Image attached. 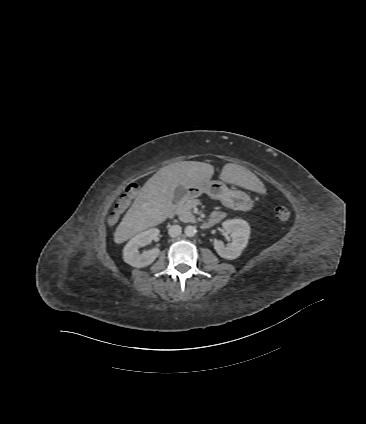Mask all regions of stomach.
<instances>
[{
    "label": "stomach",
    "instance_id": "stomach-1",
    "mask_svg": "<svg viewBox=\"0 0 366 424\" xmlns=\"http://www.w3.org/2000/svg\"><path fill=\"white\" fill-rule=\"evenodd\" d=\"M184 195H200L202 193H206L212 199L220 200L225 207L236 209L238 206L236 205L235 199H241L243 203L247 206L251 205L250 197L240 191L230 190L225 182L216 180L209 181L205 185L200 187L190 186L187 189H184Z\"/></svg>",
    "mask_w": 366,
    "mask_h": 424
}]
</instances>
